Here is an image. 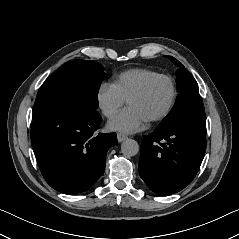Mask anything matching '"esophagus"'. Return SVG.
Instances as JSON below:
<instances>
[{"instance_id":"1","label":"esophagus","mask_w":239,"mask_h":239,"mask_svg":"<svg viewBox=\"0 0 239 239\" xmlns=\"http://www.w3.org/2000/svg\"><path fill=\"white\" fill-rule=\"evenodd\" d=\"M127 138H128L127 135H124V134H121V133L117 134V140H118V142H122V141H124V140L127 139Z\"/></svg>"}]
</instances>
